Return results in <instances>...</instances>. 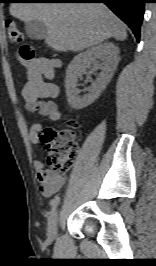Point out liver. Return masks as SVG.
I'll return each mask as SVG.
<instances>
[{"label":"liver","mask_w":156,"mask_h":266,"mask_svg":"<svg viewBox=\"0 0 156 266\" xmlns=\"http://www.w3.org/2000/svg\"><path fill=\"white\" fill-rule=\"evenodd\" d=\"M10 14L23 21H42L45 42L59 52L82 51L113 37L127 38L124 23L102 3H11Z\"/></svg>","instance_id":"liver-1"}]
</instances>
